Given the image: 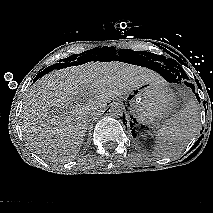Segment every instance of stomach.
Returning a JSON list of instances; mask_svg holds the SVG:
<instances>
[{"label": "stomach", "instance_id": "0dacf381", "mask_svg": "<svg viewBox=\"0 0 213 213\" xmlns=\"http://www.w3.org/2000/svg\"><path fill=\"white\" fill-rule=\"evenodd\" d=\"M129 95L136 120L146 125L157 124L179 107L175 93L163 81L146 83Z\"/></svg>", "mask_w": 213, "mask_h": 213}]
</instances>
